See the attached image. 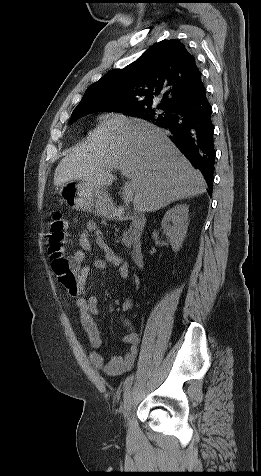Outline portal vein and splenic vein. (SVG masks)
<instances>
[{"mask_svg":"<svg viewBox=\"0 0 261 476\" xmlns=\"http://www.w3.org/2000/svg\"><path fill=\"white\" fill-rule=\"evenodd\" d=\"M133 190L130 183H126L122 191V199L125 203H130L133 199Z\"/></svg>","mask_w":261,"mask_h":476,"instance_id":"1","label":"portal vein and splenic vein"}]
</instances>
